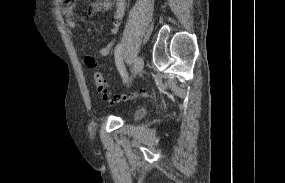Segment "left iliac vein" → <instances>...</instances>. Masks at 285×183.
<instances>
[{"mask_svg": "<svg viewBox=\"0 0 285 183\" xmlns=\"http://www.w3.org/2000/svg\"><path fill=\"white\" fill-rule=\"evenodd\" d=\"M144 67V61L141 57H137L134 61L133 65V73L134 75H138L141 73L142 69Z\"/></svg>", "mask_w": 285, "mask_h": 183, "instance_id": "left-iliac-vein-1", "label": "left iliac vein"}]
</instances>
